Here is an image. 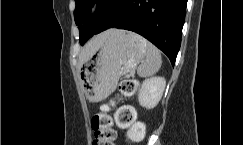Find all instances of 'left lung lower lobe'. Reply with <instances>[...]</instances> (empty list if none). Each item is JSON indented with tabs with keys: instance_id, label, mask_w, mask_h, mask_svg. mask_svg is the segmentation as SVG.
I'll return each mask as SVG.
<instances>
[{
	"instance_id": "left-lung-lower-lobe-1",
	"label": "left lung lower lobe",
	"mask_w": 243,
	"mask_h": 145,
	"mask_svg": "<svg viewBox=\"0 0 243 145\" xmlns=\"http://www.w3.org/2000/svg\"><path fill=\"white\" fill-rule=\"evenodd\" d=\"M186 4L187 0H124L114 13L94 15L88 23L89 38L109 28L130 30L152 42L174 65L181 44Z\"/></svg>"
}]
</instances>
